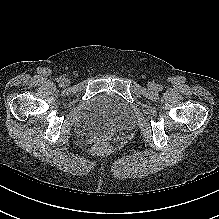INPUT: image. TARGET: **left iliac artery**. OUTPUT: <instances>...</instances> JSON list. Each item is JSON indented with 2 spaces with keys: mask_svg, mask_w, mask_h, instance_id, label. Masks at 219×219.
I'll return each instance as SVG.
<instances>
[{
  "mask_svg": "<svg viewBox=\"0 0 219 219\" xmlns=\"http://www.w3.org/2000/svg\"><path fill=\"white\" fill-rule=\"evenodd\" d=\"M157 89H158L159 91H161V90L163 89V86H162V85H157Z\"/></svg>",
  "mask_w": 219,
  "mask_h": 219,
  "instance_id": "1",
  "label": "left iliac artery"
}]
</instances>
